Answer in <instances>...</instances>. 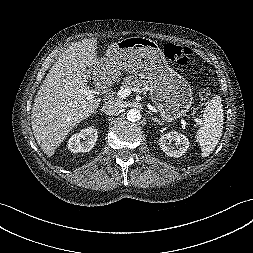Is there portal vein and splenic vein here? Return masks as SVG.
I'll use <instances>...</instances> for the list:
<instances>
[{"label":"portal vein and splenic vein","mask_w":253,"mask_h":253,"mask_svg":"<svg viewBox=\"0 0 253 253\" xmlns=\"http://www.w3.org/2000/svg\"><path fill=\"white\" fill-rule=\"evenodd\" d=\"M139 89H133V88H122L117 92V96H119L120 98H126L128 97L132 91H138ZM83 94H85L87 96V99H93L94 98V92L87 90V89H81L80 90ZM196 122L201 124L202 121L201 119H196ZM181 124L182 126L186 125L185 120H181Z\"/></svg>","instance_id":"portal-vein-and-splenic-vein-1"}]
</instances>
